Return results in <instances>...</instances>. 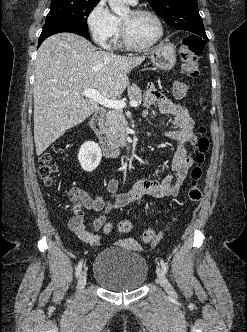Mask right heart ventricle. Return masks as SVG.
Wrapping results in <instances>:
<instances>
[{
	"mask_svg": "<svg viewBox=\"0 0 247 332\" xmlns=\"http://www.w3.org/2000/svg\"><path fill=\"white\" fill-rule=\"evenodd\" d=\"M117 20H118V28H117V31H116L114 37H113L114 43H118L119 40H120V36H121V30H120V28H121V21L118 18H117Z\"/></svg>",
	"mask_w": 247,
	"mask_h": 332,
	"instance_id": "right-heart-ventricle-1",
	"label": "right heart ventricle"
}]
</instances>
